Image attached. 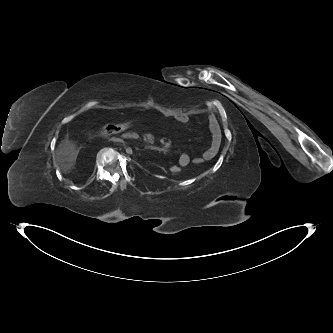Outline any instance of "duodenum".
<instances>
[{
  "mask_svg": "<svg viewBox=\"0 0 333 333\" xmlns=\"http://www.w3.org/2000/svg\"><path fill=\"white\" fill-rule=\"evenodd\" d=\"M123 137L124 138H134V139H137L138 135L136 133H124ZM146 147H147V149H149L151 151H155V152H160V151L163 150L162 147H160L159 145H156V144H149Z\"/></svg>",
  "mask_w": 333,
  "mask_h": 333,
  "instance_id": "obj_1",
  "label": "duodenum"
}]
</instances>
